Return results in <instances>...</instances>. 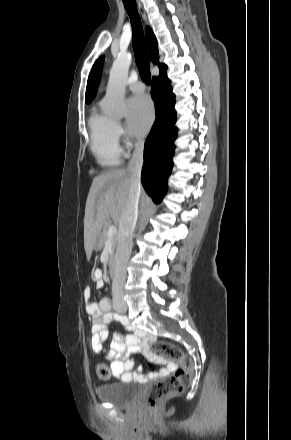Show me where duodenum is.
Masks as SVG:
<instances>
[{
	"instance_id": "1",
	"label": "duodenum",
	"mask_w": 291,
	"mask_h": 440,
	"mask_svg": "<svg viewBox=\"0 0 291 440\" xmlns=\"http://www.w3.org/2000/svg\"><path fill=\"white\" fill-rule=\"evenodd\" d=\"M108 272H109V276L111 278H115L116 276V269H115V263L113 260H110L109 264H108Z\"/></svg>"
}]
</instances>
